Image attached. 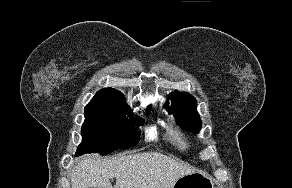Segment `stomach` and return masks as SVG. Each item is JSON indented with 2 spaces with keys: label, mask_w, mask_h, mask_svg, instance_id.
<instances>
[{
  "label": "stomach",
  "mask_w": 292,
  "mask_h": 188,
  "mask_svg": "<svg viewBox=\"0 0 292 188\" xmlns=\"http://www.w3.org/2000/svg\"><path fill=\"white\" fill-rule=\"evenodd\" d=\"M172 188H215L213 178L205 172L195 171L180 177Z\"/></svg>",
  "instance_id": "stomach-1"
}]
</instances>
